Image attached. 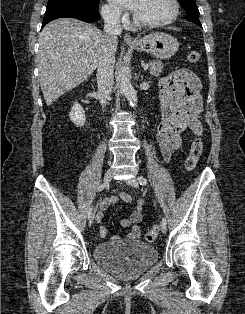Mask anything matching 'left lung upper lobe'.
Returning a JSON list of instances; mask_svg holds the SVG:
<instances>
[{
	"mask_svg": "<svg viewBox=\"0 0 245 314\" xmlns=\"http://www.w3.org/2000/svg\"><path fill=\"white\" fill-rule=\"evenodd\" d=\"M187 13V20L193 22L199 26L201 23L199 21V10L196 5V0H178Z\"/></svg>",
	"mask_w": 245,
	"mask_h": 314,
	"instance_id": "5c2ea615",
	"label": "left lung upper lobe"
}]
</instances>
